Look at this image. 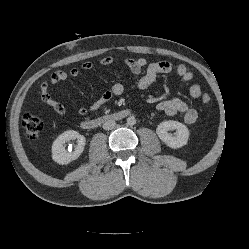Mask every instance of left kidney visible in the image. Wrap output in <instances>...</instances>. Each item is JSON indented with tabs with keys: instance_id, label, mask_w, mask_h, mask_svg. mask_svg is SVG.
Masks as SVG:
<instances>
[{
	"instance_id": "5707ae66",
	"label": "left kidney",
	"mask_w": 249,
	"mask_h": 249,
	"mask_svg": "<svg viewBox=\"0 0 249 249\" xmlns=\"http://www.w3.org/2000/svg\"><path fill=\"white\" fill-rule=\"evenodd\" d=\"M171 129L177 130L175 136L167 132ZM156 133L159 139L172 149L180 148L185 145L190 135L186 125L173 120L161 122L156 129Z\"/></svg>"
}]
</instances>
